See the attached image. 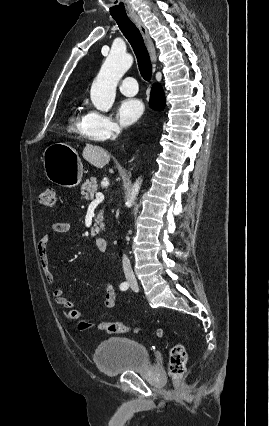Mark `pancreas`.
I'll return each instance as SVG.
<instances>
[{
    "label": "pancreas",
    "mask_w": 269,
    "mask_h": 426,
    "mask_svg": "<svg viewBox=\"0 0 269 426\" xmlns=\"http://www.w3.org/2000/svg\"><path fill=\"white\" fill-rule=\"evenodd\" d=\"M97 191V181L96 178L92 177L90 180H86L81 186V194L86 200L93 199ZM104 228L103 224V210L99 212L95 219L94 228L91 229V235L96 236L99 233L100 229Z\"/></svg>",
    "instance_id": "pancreas-1"
}]
</instances>
